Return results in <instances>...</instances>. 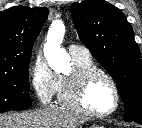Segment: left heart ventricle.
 Instances as JSON below:
<instances>
[{
    "label": "left heart ventricle",
    "instance_id": "1",
    "mask_svg": "<svg viewBox=\"0 0 142 128\" xmlns=\"http://www.w3.org/2000/svg\"><path fill=\"white\" fill-rule=\"evenodd\" d=\"M85 104L96 112H107L114 107V92L106 79L96 77L91 81L85 92Z\"/></svg>",
    "mask_w": 142,
    "mask_h": 128
}]
</instances>
